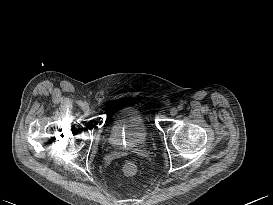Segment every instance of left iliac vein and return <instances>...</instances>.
<instances>
[{
	"label": "left iliac vein",
	"mask_w": 273,
	"mask_h": 205,
	"mask_svg": "<svg viewBox=\"0 0 273 205\" xmlns=\"http://www.w3.org/2000/svg\"><path fill=\"white\" fill-rule=\"evenodd\" d=\"M177 113H178V110H177L176 108H172V109L170 110V114H171L172 116L177 115Z\"/></svg>",
	"instance_id": "left-iliac-vein-1"
}]
</instances>
